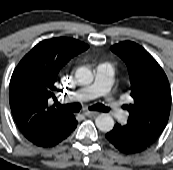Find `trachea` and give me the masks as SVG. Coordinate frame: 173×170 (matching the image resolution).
Instances as JSON below:
<instances>
[{
    "label": "trachea",
    "instance_id": "obj_1",
    "mask_svg": "<svg viewBox=\"0 0 173 170\" xmlns=\"http://www.w3.org/2000/svg\"><path fill=\"white\" fill-rule=\"evenodd\" d=\"M58 108L63 109L68 112H79L81 109V106L78 103H73V104H66V105H57ZM90 110L93 111H102V112H109V108L104 106L103 104H95L91 107H89Z\"/></svg>",
    "mask_w": 173,
    "mask_h": 170
}]
</instances>
